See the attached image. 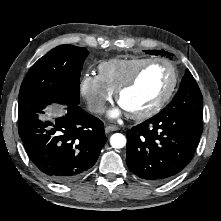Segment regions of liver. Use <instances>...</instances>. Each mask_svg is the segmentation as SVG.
<instances>
[{"mask_svg": "<svg viewBox=\"0 0 221 221\" xmlns=\"http://www.w3.org/2000/svg\"><path fill=\"white\" fill-rule=\"evenodd\" d=\"M47 116H50V114H48ZM46 115H44V116H42V118H45V117H47Z\"/></svg>", "mask_w": 221, "mask_h": 221, "instance_id": "liver-1", "label": "liver"}]
</instances>
